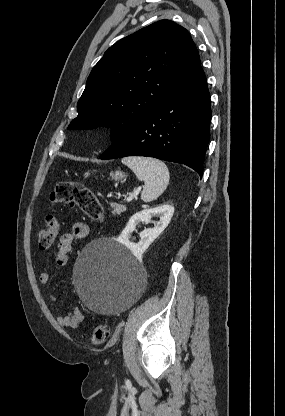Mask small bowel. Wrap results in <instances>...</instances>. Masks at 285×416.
I'll return each mask as SVG.
<instances>
[{
	"label": "small bowel",
	"mask_w": 285,
	"mask_h": 416,
	"mask_svg": "<svg viewBox=\"0 0 285 416\" xmlns=\"http://www.w3.org/2000/svg\"><path fill=\"white\" fill-rule=\"evenodd\" d=\"M89 235V226L84 222H76L72 225L71 231L60 236L57 244L56 263L65 266L68 262V253L71 251L76 240L85 239ZM39 281L43 286L50 282V274L43 271L39 276ZM47 299L51 303H56L58 297L55 292L48 291ZM85 320L82 311L74 307L69 313L61 314L57 317V322L62 327L77 328Z\"/></svg>",
	"instance_id": "1"
}]
</instances>
